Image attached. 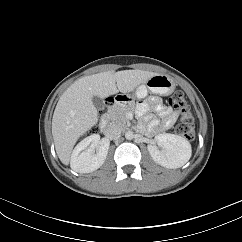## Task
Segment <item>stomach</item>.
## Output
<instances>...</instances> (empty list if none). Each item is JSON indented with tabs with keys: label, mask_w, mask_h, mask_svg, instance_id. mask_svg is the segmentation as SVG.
Wrapping results in <instances>:
<instances>
[{
	"label": "stomach",
	"mask_w": 242,
	"mask_h": 242,
	"mask_svg": "<svg viewBox=\"0 0 242 242\" xmlns=\"http://www.w3.org/2000/svg\"><path fill=\"white\" fill-rule=\"evenodd\" d=\"M176 88V82L168 75L156 74L152 76L146 83L136 87L134 95L141 99L147 95L150 91L153 94H159L168 96L173 93ZM127 102L121 101L120 104H126Z\"/></svg>",
	"instance_id": "stomach-1"
}]
</instances>
